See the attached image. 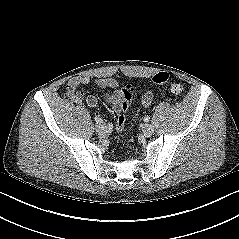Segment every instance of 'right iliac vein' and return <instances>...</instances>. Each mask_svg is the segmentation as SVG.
I'll list each match as a JSON object with an SVG mask.
<instances>
[{
  "label": "right iliac vein",
  "instance_id": "right-iliac-vein-1",
  "mask_svg": "<svg viewBox=\"0 0 239 239\" xmlns=\"http://www.w3.org/2000/svg\"><path fill=\"white\" fill-rule=\"evenodd\" d=\"M95 130L98 135L103 136L107 131V126L104 123H99L95 126Z\"/></svg>",
  "mask_w": 239,
  "mask_h": 239
}]
</instances>
